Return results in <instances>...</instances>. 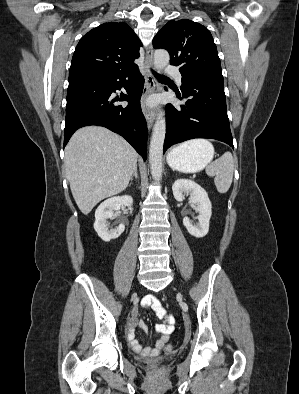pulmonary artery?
Segmentation results:
<instances>
[{"label": "pulmonary artery", "instance_id": "1", "mask_svg": "<svg viewBox=\"0 0 299 394\" xmlns=\"http://www.w3.org/2000/svg\"><path fill=\"white\" fill-rule=\"evenodd\" d=\"M165 72H166L167 74L173 76V77L176 79L178 85H181V84H182V75H181V73L178 71V69H176V68H167V69L165 70Z\"/></svg>", "mask_w": 299, "mask_h": 394}]
</instances>
